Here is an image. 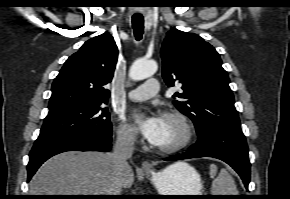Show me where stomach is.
Returning a JSON list of instances; mask_svg holds the SVG:
<instances>
[{
  "instance_id": "obj_1",
  "label": "stomach",
  "mask_w": 290,
  "mask_h": 199,
  "mask_svg": "<svg viewBox=\"0 0 290 199\" xmlns=\"http://www.w3.org/2000/svg\"><path fill=\"white\" fill-rule=\"evenodd\" d=\"M150 179L160 195H202V182L198 172L185 162H177L161 172L149 171ZM176 198H194L177 196Z\"/></svg>"
}]
</instances>
